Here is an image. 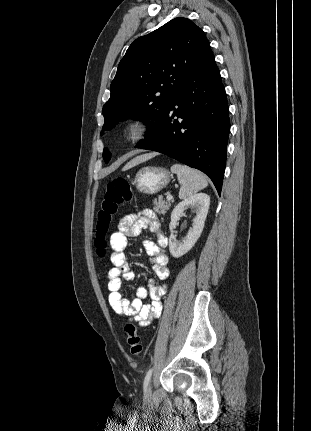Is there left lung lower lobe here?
<instances>
[{
	"label": "left lung lower lobe",
	"instance_id": "0a47b994",
	"mask_svg": "<svg viewBox=\"0 0 311 431\" xmlns=\"http://www.w3.org/2000/svg\"><path fill=\"white\" fill-rule=\"evenodd\" d=\"M229 130L225 88L210 49L181 85L157 131L138 148L203 171L220 195Z\"/></svg>",
	"mask_w": 311,
	"mask_h": 431
}]
</instances>
